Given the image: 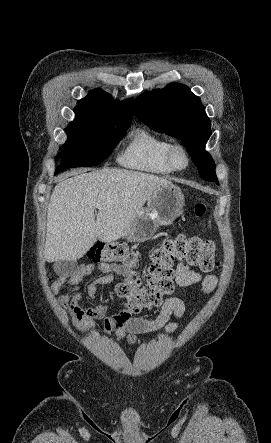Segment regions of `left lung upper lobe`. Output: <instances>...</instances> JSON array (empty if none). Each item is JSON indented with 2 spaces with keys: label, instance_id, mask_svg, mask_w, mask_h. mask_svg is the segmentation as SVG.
I'll use <instances>...</instances> for the list:
<instances>
[{
  "label": "left lung upper lobe",
  "instance_id": "left-lung-upper-lobe-1",
  "mask_svg": "<svg viewBox=\"0 0 271 443\" xmlns=\"http://www.w3.org/2000/svg\"><path fill=\"white\" fill-rule=\"evenodd\" d=\"M135 115L151 129L181 140L201 178L219 185L215 163L205 151L211 135L210 120L200 98L189 87L172 83L140 95L135 101Z\"/></svg>",
  "mask_w": 271,
  "mask_h": 443
}]
</instances>
